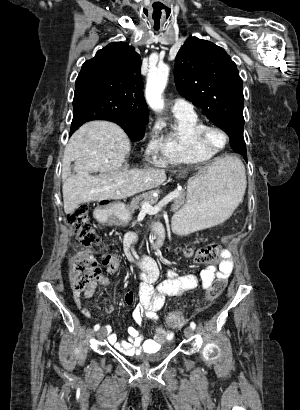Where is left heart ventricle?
Segmentation results:
<instances>
[{
    "label": "left heart ventricle",
    "instance_id": "obj_1",
    "mask_svg": "<svg viewBox=\"0 0 300 410\" xmlns=\"http://www.w3.org/2000/svg\"><path fill=\"white\" fill-rule=\"evenodd\" d=\"M208 140L213 147H222L225 143V137L217 130L208 133Z\"/></svg>",
    "mask_w": 300,
    "mask_h": 410
}]
</instances>
